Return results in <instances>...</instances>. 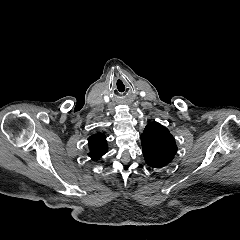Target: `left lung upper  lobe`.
<instances>
[{
	"label": "left lung upper lobe",
	"instance_id": "obj_1",
	"mask_svg": "<svg viewBox=\"0 0 240 240\" xmlns=\"http://www.w3.org/2000/svg\"><path fill=\"white\" fill-rule=\"evenodd\" d=\"M142 152L146 163L156 169L167 166L177 152L174 137L157 122L148 123L141 135Z\"/></svg>",
	"mask_w": 240,
	"mask_h": 240
}]
</instances>
